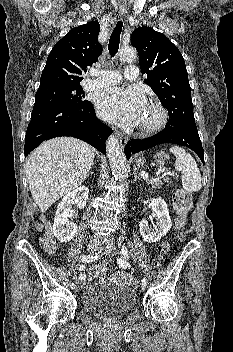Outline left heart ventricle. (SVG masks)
<instances>
[{"label":"left heart ventricle","instance_id":"obj_1","mask_svg":"<svg viewBox=\"0 0 233 352\" xmlns=\"http://www.w3.org/2000/svg\"><path fill=\"white\" fill-rule=\"evenodd\" d=\"M155 118V112L154 110L149 107L148 105L145 106V109L142 113L141 119H140V123H146V122H150Z\"/></svg>","mask_w":233,"mask_h":352}]
</instances>
